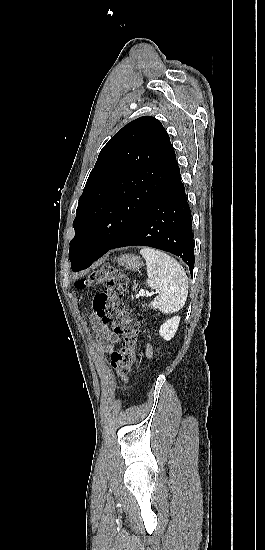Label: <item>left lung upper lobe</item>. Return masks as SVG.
Returning a JSON list of instances; mask_svg holds the SVG:
<instances>
[{
	"label": "left lung upper lobe",
	"mask_w": 265,
	"mask_h": 550,
	"mask_svg": "<svg viewBox=\"0 0 265 550\" xmlns=\"http://www.w3.org/2000/svg\"><path fill=\"white\" fill-rule=\"evenodd\" d=\"M170 138L154 117L135 119L102 148L79 199L70 242L72 270L103 252L179 172Z\"/></svg>",
	"instance_id": "left-lung-upper-lobe-1"
}]
</instances>
